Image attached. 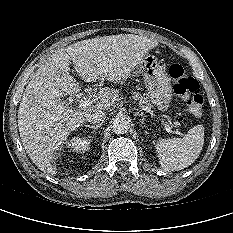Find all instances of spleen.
Listing matches in <instances>:
<instances>
[{
	"label": "spleen",
	"mask_w": 233,
	"mask_h": 233,
	"mask_svg": "<svg viewBox=\"0 0 233 233\" xmlns=\"http://www.w3.org/2000/svg\"><path fill=\"white\" fill-rule=\"evenodd\" d=\"M204 145V127L196 125L183 138L161 139L155 149L165 171H179L190 166Z\"/></svg>",
	"instance_id": "spleen-1"
}]
</instances>
